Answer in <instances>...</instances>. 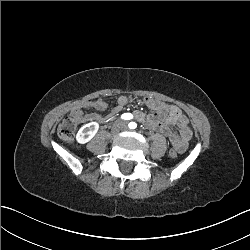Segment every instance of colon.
Masks as SVG:
<instances>
[{
    "mask_svg": "<svg viewBox=\"0 0 250 250\" xmlns=\"http://www.w3.org/2000/svg\"><path fill=\"white\" fill-rule=\"evenodd\" d=\"M77 129V120L73 115H67L59 123L57 128V134L62 141L70 142L75 138ZM183 147L168 148L167 154L172 158H176Z\"/></svg>",
    "mask_w": 250,
    "mask_h": 250,
    "instance_id": "5ec220e1",
    "label": "colon"
}]
</instances>
